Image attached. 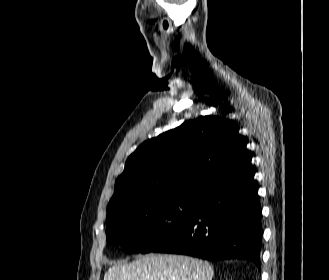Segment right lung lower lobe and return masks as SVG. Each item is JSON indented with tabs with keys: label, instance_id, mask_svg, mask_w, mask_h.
<instances>
[{
	"label": "right lung lower lobe",
	"instance_id": "right-lung-lower-lobe-1",
	"mask_svg": "<svg viewBox=\"0 0 329 280\" xmlns=\"http://www.w3.org/2000/svg\"><path fill=\"white\" fill-rule=\"evenodd\" d=\"M255 172L250 160L213 182L188 221L152 252L245 259L260 267L262 225Z\"/></svg>",
	"mask_w": 329,
	"mask_h": 280
}]
</instances>
